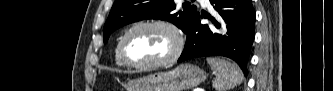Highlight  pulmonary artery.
I'll return each instance as SVG.
<instances>
[{
	"instance_id": "pulmonary-artery-1",
	"label": "pulmonary artery",
	"mask_w": 333,
	"mask_h": 91,
	"mask_svg": "<svg viewBox=\"0 0 333 91\" xmlns=\"http://www.w3.org/2000/svg\"><path fill=\"white\" fill-rule=\"evenodd\" d=\"M202 3H204L205 5H207L208 1L207 0H202Z\"/></svg>"
}]
</instances>
